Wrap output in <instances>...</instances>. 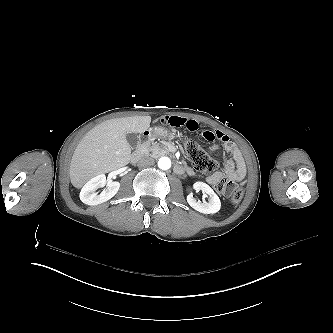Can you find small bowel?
<instances>
[{
  "instance_id": "1",
  "label": "small bowel",
  "mask_w": 333,
  "mask_h": 333,
  "mask_svg": "<svg viewBox=\"0 0 333 333\" xmlns=\"http://www.w3.org/2000/svg\"><path fill=\"white\" fill-rule=\"evenodd\" d=\"M161 123L172 127L184 128L192 132L198 131L201 128L200 122L197 119L186 116H168L163 118ZM202 136L208 141H220V143H214L210 146L211 151L223 148L231 154L230 159L225 163L224 171H217L207 176V183L216 186L223 178H228L243 184L246 178V164L238 146L222 131L210 129L208 125L202 126ZM183 167L185 170H189L187 166Z\"/></svg>"
}]
</instances>
